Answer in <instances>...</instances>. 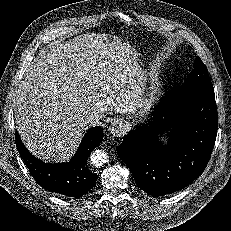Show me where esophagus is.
<instances>
[{"mask_svg": "<svg viewBox=\"0 0 231 231\" xmlns=\"http://www.w3.org/2000/svg\"><path fill=\"white\" fill-rule=\"evenodd\" d=\"M126 131L125 124L121 120H114L111 122L110 127H109V132L116 137H120L124 135Z\"/></svg>", "mask_w": 231, "mask_h": 231, "instance_id": "1", "label": "esophagus"}]
</instances>
